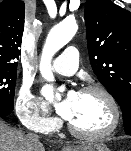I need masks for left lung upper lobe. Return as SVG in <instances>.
<instances>
[{
    "mask_svg": "<svg viewBox=\"0 0 131 151\" xmlns=\"http://www.w3.org/2000/svg\"><path fill=\"white\" fill-rule=\"evenodd\" d=\"M85 22L92 69L120 105L131 135V13L110 0H87Z\"/></svg>",
    "mask_w": 131,
    "mask_h": 151,
    "instance_id": "obj_1",
    "label": "left lung upper lobe"
}]
</instances>
